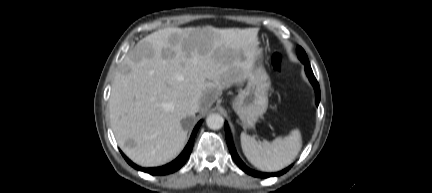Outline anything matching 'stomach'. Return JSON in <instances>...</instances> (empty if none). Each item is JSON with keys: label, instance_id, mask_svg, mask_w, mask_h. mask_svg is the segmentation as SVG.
<instances>
[{"label": "stomach", "instance_id": "0dacf381", "mask_svg": "<svg viewBox=\"0 0 432 193\" xmlns=\"http://www.w3.org/2000/svg\"><path fill=\"white\" fill-rule=\"evenodd\" d=\"M270 87L271 80L263 65L262 47L258 40V54L248 75L247 85L231 101L244 127H253L266 112Z\"/></svg>", "mask_w": 432, "mask_h": 193}]
</instances>
